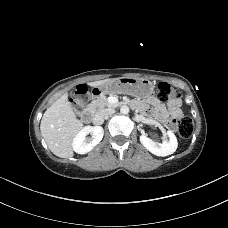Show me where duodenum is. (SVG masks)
Returning <instances> with one entry per match:
<instances>
[{
  "mask_svg": "<svg viewBox=\"0 0 228 228\" xmlns=\"http://www.w3.org/2000/svg\"><path fill=\"white\" fill-rule=\"evenodd\" d=\"M92 120V110L91 109H87L83 112V121L85 123H89Z\"/></svg>",
  "mask_w": 228,
  "mask_h": 228,
  "instance_id": "410a0bca",
  "label": "duodenum"
}]
</instances>
